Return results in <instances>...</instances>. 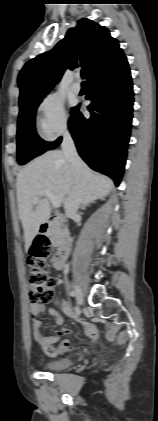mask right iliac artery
<instances>
[{
    "mask_svg": "<svg viewBox=\"0 0 158 421\" xmlns=\"http://www.w3.org/2000/svg\"><path fill=\"white\" fill-rule=\"evenodd\" d=\"M69 295H70V296H72V297H75V296H76V292H75V291H73V290H71V291L69 292Z\"/></svg>",
    "mask_w": 158,
    "mask_h": 421,
    "instance_id": "right-iliac-artery-1",
    "label": "right iliac artery"
}]
</instances>
